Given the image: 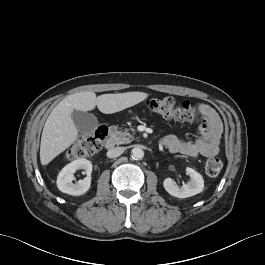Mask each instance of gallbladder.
<instances>
[{
    "instance_id": "bac80fb5",
    "label": "gallbladder",
    "mask_w": 265,
    "mask_h": 265,
    "mask_svg": "<svg viewBox=\"0 0 265 265\" xmlns=\"http://www.w3.org/2000/svg\"><path fill=\"white\" fill-rule=\"evenodd\" d=\"M71 117L77 130L82 134L90 135L97 129L98 120L91 113L74 110Z\"/></svg>"
}]
</instances>
